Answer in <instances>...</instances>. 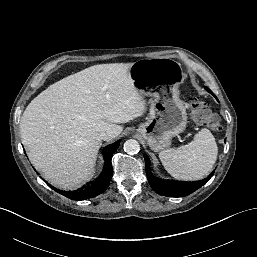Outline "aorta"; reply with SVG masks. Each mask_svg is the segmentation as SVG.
Wrapping results in <instances>:
<instances>
[{
	"mask_svg": "<svg viewBox=\"0 0 257 257\" xmlns=\"http://www.w3.org/2000/svg\"><path fill=\"white\" fill-rule=\"evenodd\" d=\"M139 150H140V145L138 141L134 139H129L124 143V151L127 154H130V155L137 154Z\"/></svg>",
	"mask_w": 257,
	"mask_h": 257,
	"instance_id": "obj_1",
	"label": "aorta"
}]
</instances>
